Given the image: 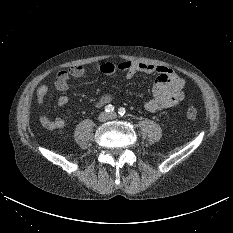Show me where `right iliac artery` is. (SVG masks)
Returning <instances> with one entry per match:
<instances>
[{
  "label": "right iliac artery",
  "instance_id": "obj_1",
  "mask_svg": "<svg viewBox=\"0 0 233 233\" xmlns=\"http://www.w3.org/2000/svg\"><path fill=\"white\" fill-rule=\"evenodd\" d=\"M105 111L106 112H113L114 111V106H112V105L105 106Z\"/></svg>",
  "mask_w": 233,
  "mask_h": 233
}]
</instances>
